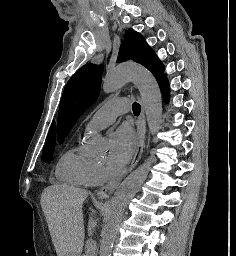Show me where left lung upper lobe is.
I'll return each mask as SVG.
<instances>
[{
	"instance_id": "left-lung-upper-lobe-1",
	"label": "left lung upper lobe",
	"mask_w": 236,
	"mask_h": 256,
	"mask_svg": "<svg viewBox=\"0 0 236 256\" xmlns=\"http://www.w3.org/2000/svg\"><path fill=\"white\" fill-rule=\"evenodd\" d=\"M133 60L146 67L157 80L163 76L164 66L144 37L132 29L125 32L117 62ZM103 67L87 63L65 86L57 122V139L61 144L81 114L98 98Z\"/></svg>"
}]
</instances>
